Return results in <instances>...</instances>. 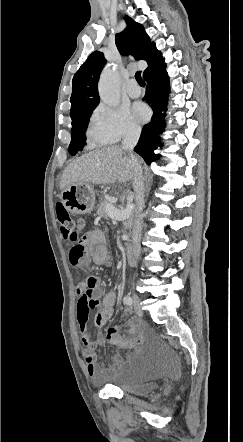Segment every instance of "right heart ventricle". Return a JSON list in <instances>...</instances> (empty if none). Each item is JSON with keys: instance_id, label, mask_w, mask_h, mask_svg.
<instances>
[{"instance_id": "right-heart-ventricle-1", "label": "right heart ventricle", "mask_w": 243, "mask_h": 442, "mask_svg": "<svg viewBox=\"0 0 243 442\" xmlns=\"http://www.w3.org/2000/svg\"><path fill=\"white\" fill-rule=\"evenodd\" d=\"M86 135H87V141L89 145L92 147L105 146L111 143L108 138H106L104 135H102L99 132L93 121L89 126Z\"/></svg>"}]
</instances>
